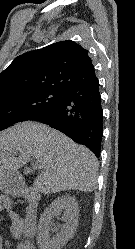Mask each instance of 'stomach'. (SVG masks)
Returning a JSON list of instances; mask_svg holds the SVG:
<instances>
[{
	"label": "stomach",
	"mask_w": 135,
	"mask_h": 249,
	"mask_svg": "<svg viewBox=\"0 0 135 249\" xmlns=\"http://www.w3.org/2000/svg\"><path fill=\"white\" fill-rule=\"evenodd\" d=\"M15 172L0 167V188L3 190H13V184L16 183Z\"/></svg>",
	"instance_id": "obj_1"
}]
</instances>
